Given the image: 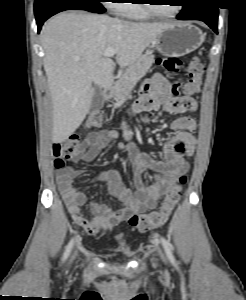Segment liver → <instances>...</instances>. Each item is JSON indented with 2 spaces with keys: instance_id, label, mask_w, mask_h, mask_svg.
<instances>
[{
  "instance_id": "liver-1",
  "label": "liver",
  "mask_w": 246,
  "mask_h": 300,
  "mask_svg": "<svg viewBox=\"0 0 246 300\" xmlns=\"http://www.w3.org/2000/svg\"><path fill=\"white\" fill-rule=\"evenodd\" d=\"M168 23H134L84 12H64L42 28L43 63L53 104L52 142L66 140L85 119L93 83H113V61L104 57L116 49V61L127 67L155 41Z\"/></svg>"
}]
</instances>
